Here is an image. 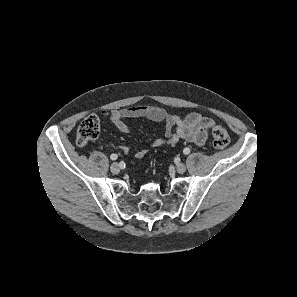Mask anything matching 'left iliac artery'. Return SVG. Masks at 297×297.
I'll list each match as a JSON object with an SVG mask.
<instances>
[{
  "mask_svg": "<svg viewBox=\"0 0 297 297\" xmlns=\"http://www.w3.org/2000/svg\"><path fill=\"white\" fill-rule=\"evenodd\" d=\"M183 153H184L185 155L189 154V153H190V149L187 148V147L184 148Z\"/></svg>",
  "mask_w": 297,
  "mask_h": 297,
  "instance_id": "left-iliac-artery-1",
  "label": "left iliac artery"
}]
</instances>
